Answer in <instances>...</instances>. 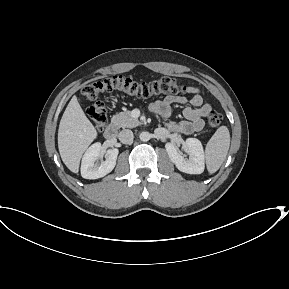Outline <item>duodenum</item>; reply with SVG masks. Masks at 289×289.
Returning <instances> with one entry per match:
<instances>
[{
  "label": "duodenum",
  "instance_id": "1",
  "mask_svg": "<svg viewBox=\"0 0 289 289\" xmlns=\"http://www.w3.org/2000/svg\"><path fill=\"white\" fill-rule=\"evenodd\" d=\"M116 134H117V128L114 124L108 125L104 131V137L110 141L115 139Z\"/></svg>",
  "mask_w": 289,
  "mask_h": 289
}]
</instances>
